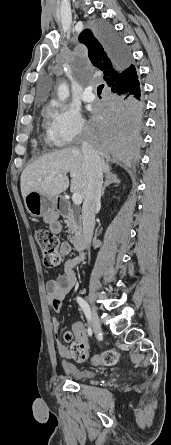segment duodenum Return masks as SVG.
I'll return each mask as SVG.
<instances>
[{
  "instance_id": "410a0bca",
  "label": "duodenum",
  "mask_w": 171,
  "mask_h": 445,
  "mask_svg": "<svg viewBox=\"0 0 171 445\" xmlns=\"http://www.w3.org/2000/svg\"><path fill=\"white\" fill-rule=\"evenodd\" d=\"M60 214H66L69 211V205L66 200L59 199L57 203ZM86 244V238L83 234H77L74 238V245L78 250H83Z\"/></svg>"
}]
</instances>
